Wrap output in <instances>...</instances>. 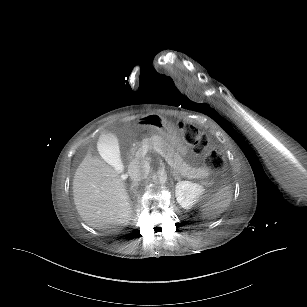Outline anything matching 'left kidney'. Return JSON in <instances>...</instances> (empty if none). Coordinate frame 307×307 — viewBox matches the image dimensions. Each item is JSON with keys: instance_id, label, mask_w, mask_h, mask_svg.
I'll use <instances>...</instances> for the list:
<instances>
[{"instance_id": "left-kidney-1", "label": "left kidney", "mask_w": 307, "mask_h": 307, "mask_svg": "<svg viewBox=\"0 0 307 307\" xmlns=\"http://www.w3.org/2000/svg\"><path fill=\"white\" fill-rule=\"evenodd\" d=\"M204 191V187L198 183L179 181L175 187V196L177 202L182 208L190 209L196 202H198Z\"/></svg>"}]
</instances>
